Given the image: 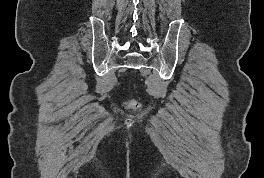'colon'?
<instances>
[{"label":"colon","instance_id":"1","mask_svg":"<svg viewBox=\"0 0 264 178\" xmlns=\"http://www.w3.org/2000/svg\"><path fill=\"white\" fill-rule=\"evenodd\" d=\"M130 106H131V107H136L137 104H136L135 102H131V103H130Z\"/></svg>","mask_w":264,"mask_h":178}]
</instances>
